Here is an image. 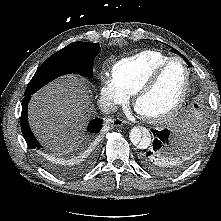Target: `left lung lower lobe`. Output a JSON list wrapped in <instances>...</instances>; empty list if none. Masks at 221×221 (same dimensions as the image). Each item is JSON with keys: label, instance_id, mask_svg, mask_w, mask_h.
<instances>
[{"label": "left lung lower lobe", "instance_id": "obj_1", "mask_svg": "<svg viewBox=\"0 0 221 221\" xmlns=\"http://www.w3.org/2000/svg\"><path fill=\"white\" fill-rule=\"evenodd\" d=\"M154 142L152 148L141 158L142 164L150 171L160 174H170L176 171V159L169 157V135L168 129L152 130Z\"/></svg>", "mask_w": 221, "mask_h": 221}]
</instances>
